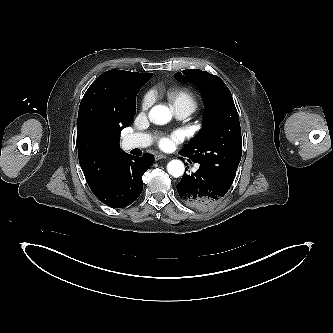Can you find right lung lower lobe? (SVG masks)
Segmentation results:
<instances>
[{
	"mask_svg": "<svg viewBox=\"0 0 333 333\" xmlns=\"http://www.w3.org/2000/svg\"><path fill=\"white\" fill-rule=\"evenodd\" d=\"M153 164V158L125 153L117 163L108 185L95 196L107 206L123 208L134 202L143 189V174Z\"/></svg>",
	"mask_w": 333,
	"mask_h": 333,
	"instance_id": "98d812e1",
	"label": "right lung lower lobe"
}]
</instances>
